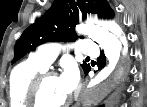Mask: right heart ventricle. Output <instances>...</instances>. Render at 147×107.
I'll return each mask as SVG.
<instances>
[{
    "label": "right heart ventricle",
    "mask_w": 147,
    "mask_h": 107,
    "mask_svg": "<svg viewBox=\"0 0 147 107\" xmlns=\"http://www.w3.org/2000/svg\"><path fill=\"white\" fill-rule=\"evenodd\" d=\"M45 69L32 59L14 67L9 80V100L12 107H29L27 104L29 86L35 76Z\"/></svg>",
    "instance_id": "right-heart-ventricle-1"
}]
</instances>
